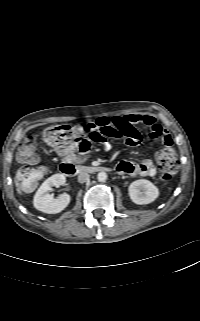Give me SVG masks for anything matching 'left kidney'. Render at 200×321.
<instances>
[{"mask_svg":"<svg viewBox=\"0 0 200 321\" xmlns=\"http://www.w3.org/2000/svg\"><path fill=\"white\" fill-rule=\"evenodd\" d=\"M130 199L138 205L152 203L158 196V188L149 180L139 179L128 188Z\"/></svg>","mask_w":200,"mask_h":321,"instance_id":"5707ae66","label":"left kidney"}]
</instances>
